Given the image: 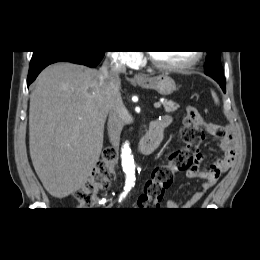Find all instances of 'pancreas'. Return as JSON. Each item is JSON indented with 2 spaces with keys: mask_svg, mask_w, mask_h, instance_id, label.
Returning a JSON list of instances; mask_svg holds the SVG:
<instances>
[{
  "mask_svg": "<svg viewBox=\"0 0 260 260\" xmlns=\"http://www.w3.org/2000/svg\"><path fill=\"white\" fill-rule=\"evenodd\" d=\"M162 105L164 107V111L167 113H172V112L176 111L179 107V105L176 104L175 102L168 101V100H164L162 102Z\"/></svg>",
  "mask_w": 260,
  "mask_h": 260,
  "instance_id": "cf45deb5",
  "label": "pancreas"
}]
</instances>
